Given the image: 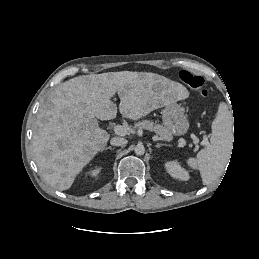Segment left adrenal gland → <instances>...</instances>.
I'll use <instances>...</instances> for the list:
<instances>
[{
    "label": "left adrenal gland",
    "instance_id": "obj_1",
    "mask_svg": "<svg viewBox=\"0 0 259 259\" xmlns=\"http://www.w3.org/2000/svg\"><path fill=\"white\" fill-rule=\"evenodd\" d=\"M161 146H169V145L164 144V143H158L155 147L156 148H160Z\"/></svg>",
    "mask_w": 259,
    "mask_h": 259
}]
</instances>
